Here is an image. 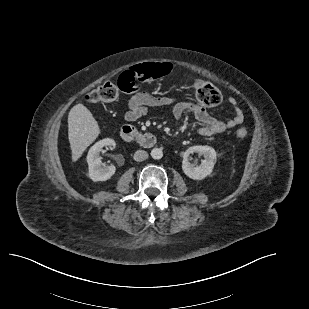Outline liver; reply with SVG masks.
<instances>
[{
  "label": "liver",
  "mask_w": 309,
  "mask_h": 309,
  "mask_svg": "<svg viewBox=\"0 0 309 309\" xmlns=\"http://www.w3.org/2000/svg\"><path fill=\"white\" fill-rule=\"evenodd\" d=\"M99 134V125L90 110L83 104L73 106L68 115V139L72 162H76L81 157Z\"/></svg>",
  "instance_id": "obj_1"
}]
</instances>
